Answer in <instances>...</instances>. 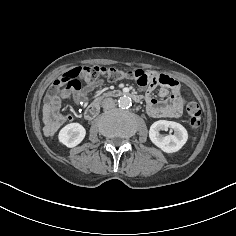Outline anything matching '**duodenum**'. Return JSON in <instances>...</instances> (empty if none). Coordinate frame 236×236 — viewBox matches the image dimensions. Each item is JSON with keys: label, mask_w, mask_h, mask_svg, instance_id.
I'll use <instances>...</instances> for the list:
<instances>
[{"label": "duodenum", "mask_w": 236, "mask_h": 236, "mask_svg": "<svg viewBox=\"0 0 236 236\" xmlns=\"http://www.w3.org/2000/svg\"><path fill=\"white\" fill-rule=\"evenodd\" d=\"M130 97L135 101V102H140L142 100V97L139 94H130ZM101 95H98L95 97L93 102L87 107L85 110V118L86 119H92L94 118L98 111H99V101H100Z\"/></svg>", "instance_id": "duodenum-1"}]
</instances>
